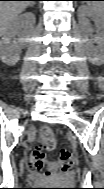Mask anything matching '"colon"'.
I'll use <instances>...</instances> for the list:
<instances>
[{
    "mask_svg": "<svg viewBox=\"0 0 104 189\" xmlns=\"http://www.w3.org/2000/svg\"><path fill=\"white\" fill-rule=\"evenodd\" d=\"M56 140L52 130L45 126L40 129V141L30 148L29 167L36 173L49 176L55 173L68 172L76 163V156L71 150H63L56 161L47 160V152L54 150Z\"/></svg>",
    "mask_w": 104,
    "mask_h": 189,
    "instance_id": "obj_1",
    "label": "colon"
}]
</instances>
